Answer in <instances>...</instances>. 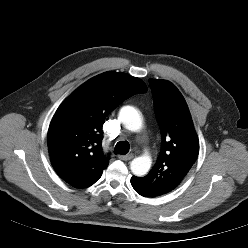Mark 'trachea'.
<instances>
[{"label": "trachea", "instance_id": "1", "mask_svg": "<svg viewBox=\"0 0 248 248\" xmlns=\"http://www.w3.org/2000/svg\"><path fill=\"white\" fill-rule=\"evenodd\" d=\"M130 146L126 141H119L114 149L115 154L125 155L129 152Z\"/></svg>", "mask_w": 248, "mask_h": 248}]
</instances>
